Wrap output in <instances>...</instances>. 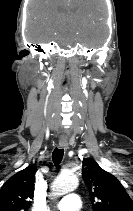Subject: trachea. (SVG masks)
Segmentation results:
<instances>
[{
    "instance_id": "3493384b",
    "label": "trachea",
    "mask_w": 133,
    "mask_h": 211,
    "mask_svg": "<svg viewBox=\"0 0 133 211\" xmlns=\"http://www.w3.org/2000/svg\"><path fill=\"white\" fill-rule=\"evenodd\" d=\"M64 150L56 148L52 153V159L55 165H59L62 157H63Z\"/></svg>"
}]
</instances>
